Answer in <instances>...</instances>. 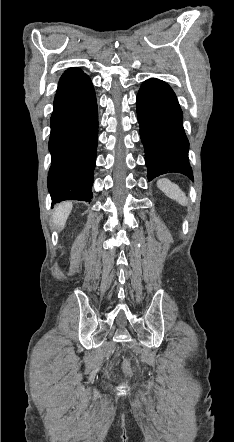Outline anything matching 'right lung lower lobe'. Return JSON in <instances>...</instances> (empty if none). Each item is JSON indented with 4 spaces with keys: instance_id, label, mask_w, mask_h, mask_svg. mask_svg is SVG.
Listing matches in <instances>:
<instances>
[{
    "instance_id": "right-lung-lower-lobe-1",
    "label": "right lung lower lobe",
    "mask_w": 234,
    "mask_h": 442,
    "mask_svg": "<svg viewBox=\"0 0 234 442\" xmlns=\"http://www.w3.org/2000/svg\"><path fill=\"white\" fill-rule=\"evenodd\" d=\"M48 188L52 204L91 201L98 142V110L93 85L80 69L61 76L51 116Z\"/></svg>"
}]
</instances>
